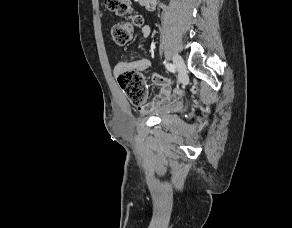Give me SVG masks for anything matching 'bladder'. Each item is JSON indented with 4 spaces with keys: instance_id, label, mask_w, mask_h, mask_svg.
<instances>
[{
    "instance_id": "31cf9c89",
    "label": "bladder",
    "mask_w": 292,
    "mask_h": 228,
    "mask_svg": "<svg viewBox=\"0 0 292 228\" xmlns=\"http://www.w3.org/2000/svg\"><path fill=\"white\" fill-rule=\"evenodd\" d=\"M181 109H182V106L181 105H177L174 108H172L171 110H169L168 112L163 113L162 114V117L167 116V115H172V114L178 113V112L181 111Z\"/></svg>"
}]
</instances>
